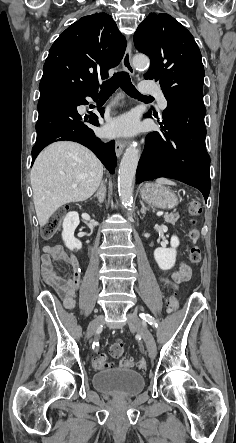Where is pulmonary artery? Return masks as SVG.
Segmentation results:
<instances>
[{
    "label": "pulmonary artery",
    "instance_id": "obj_1",
    "mask_svg": "<svg viewBox=\"0 0 236 443\" xmlns=\"http://www.w3.org/2000/svg\"><path fill=\"white\" fill-rule=\"evenodd\" d=\"M139 89L143 93H150L152 90L147 87L146 82H141L139 85ZM159 96V105L162 110H165L167 108V100L165 99L164 95L162 93L158 94Z\"/></svg>",
    "mask_w": 236,
    "mask_h": 443
}]
</instances>
